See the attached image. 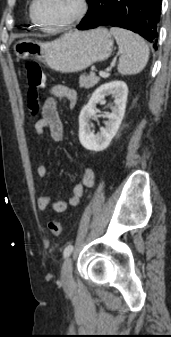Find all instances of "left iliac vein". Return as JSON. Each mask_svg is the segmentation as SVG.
<instances>
[{"label": "left iliac vein", "mask_w": 171, "mask_h": 337, "mask_svg": "<svg viewBox=\"0 0 171 337\" xmlns=\"http://www.w3.org/2000/svg\"><path fill=\"white\" fill-rule=\"evenodd\" d=\"M61 282L64 286L70 287L73 285V276H72V260L67 258L62 266L61 270Z\"/></svg>", "instance_id": "1"}]
</instances>
